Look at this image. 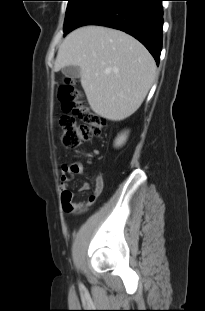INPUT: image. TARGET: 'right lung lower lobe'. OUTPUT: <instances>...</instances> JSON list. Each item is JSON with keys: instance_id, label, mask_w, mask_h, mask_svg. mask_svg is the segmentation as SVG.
I'll return each mask as SVG.
<instances>
[{"instance_id": "right-lung-lower-lobe-1", "label": "right lung lower lobe", "mask_w": 205, "mask_h": 311, "mask_svg": "<svg viewBox=\"0 0 205 311\" xmlns=\"http://www.w3.org/2000/svg\"><path fill=\"white\" fill-rule=\"evenodd\" d=\"M162 1L90 0L68 32L83 25L122 30L138 39L158 65L162 49Z\"/></svg>"}]
</instances>
